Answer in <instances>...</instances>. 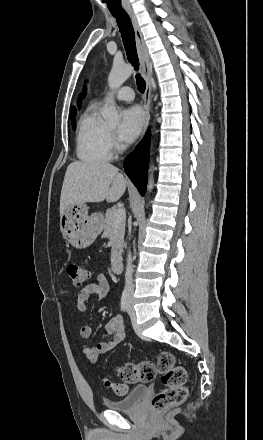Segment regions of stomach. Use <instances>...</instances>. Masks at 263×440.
Here are the masks:
<instances>
[{
    "label": "stomach",
    "instance_id": "obj_1",
    "mask_svg": "<svg viewBox=\"0 0 263 440\" xmlns=\"http://www.w3.org/2000/svg\"><path fill=\"white\" fill-rule=\"evenodd\" d=\"M63 236L76 248L91 245L103 228V220L96 213L89 215L86 204H74L60 216Z\"/></svg>",
    "mask_w": 263,
    "mask_h": 440
}]
</instances>
